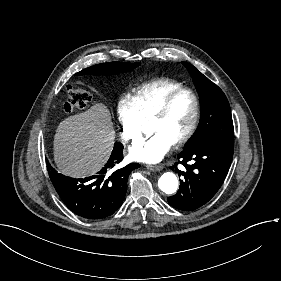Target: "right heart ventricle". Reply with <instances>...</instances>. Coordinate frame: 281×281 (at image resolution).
Segmentation results:
<instances>
[{
	"instance_id": "obj_1",
	"label": "right heart ventricle",
	"mask_w": 281,
	"mask_h": 281,
	"mask_svg": "<svg viewBox=\"0 0 281 281\" xmlns=\"http://www.w3.org/2000/svg\"><path fill=\"white\" fill-rule=\"evenodd\" d=\"M185 86L174 80H160L138 89L128 97L140 120H144L172 93Z\"/></svg>"
}]
</instances>
